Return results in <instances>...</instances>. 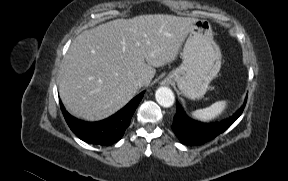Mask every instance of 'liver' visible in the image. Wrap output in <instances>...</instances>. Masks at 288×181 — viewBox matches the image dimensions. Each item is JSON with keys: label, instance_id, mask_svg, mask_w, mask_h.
Listing matches in <instances>:
<instances>
[{"label": "liver", "instance_id": "liver-1", "mask_svg": "<svg viewBox=\"0 0 288 181\" xmlns=\"http://www.w3.org/2000/svg\"><path fill=\"white\" fill-rule=\"evenodd\" d=\"M196 19L168 14L116 19L85 30L71 43L59 81L60 98L74 116L88 121L109 117L145 86L161 67L176 60Z\"/></svg>", "mask_w": 288, "mask_h": 181}]
</instances>
